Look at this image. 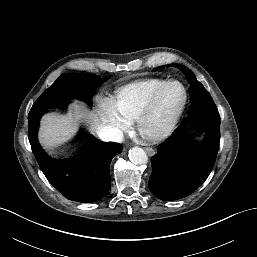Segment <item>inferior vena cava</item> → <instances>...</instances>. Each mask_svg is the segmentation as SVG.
I'll return each mask as SVG.
<instances>
[{"mask_svg": "<svg viewBox=\"0 0 257 257\" xmlns=\"http://www.w3.org/2000/svg\"><path fill=\"white\" fill-rule=\"evenodd\" d=\"M110 135H111V138L115 141H121L123 139V133L118 129L112 130Z\"/></svg>", "mask_w": 257, "mask_h": 257, "instance_id": "obj_1", "label": "inferior vena cava"}]
</instances>
